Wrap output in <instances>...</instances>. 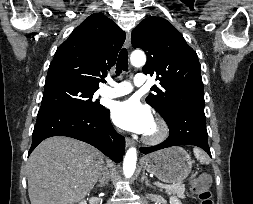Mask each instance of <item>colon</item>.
<instances>
[{
    "label": "colon",
    "instance_id": "obj_1",
    "mask_svg": "<svg viewBox=\"0 0 253 204\" xmlns=\"http://www.w3.org/2000/svg\"><path fill=\"white\" fill-rule=\"evenodd\" d=\"M211 177L203 173L191 183L192 192L198 197L200 204H214L210 190Z\"/></svg>",
    "mask_w": 253,
    "mask_h": 204
}]
</instances>
